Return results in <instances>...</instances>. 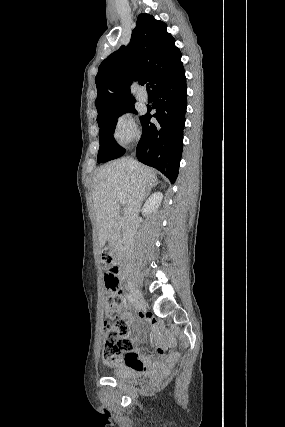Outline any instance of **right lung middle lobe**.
I'll list each match as a JSON object with an SVG mask.
<instances>
[{"instance_id": "obj_1", "label": "right lung middle lobe", "mask_w": 285, "mask_h": 427, "mask_svg": "<svg viewBox=\"0 0 285 427\" xmlns=\"http://www.w3.org/2000/svg\"><path fill=\"white\" fill-rule=\"evenodd\" d=\"M126 112L136 113L134 105L125 107L124 109L114 113L106 120L99 122V140L100 148L97 156L98 163L116 159L125 153V149L120 147L113 137V132L116 127L117 118ZM142 117L140 118V120Z\"/></svg>"}]
</instances>
